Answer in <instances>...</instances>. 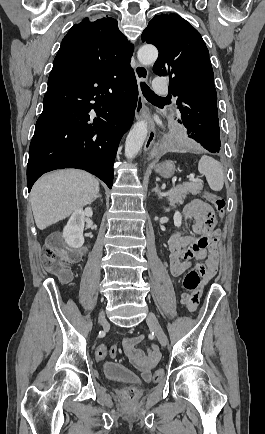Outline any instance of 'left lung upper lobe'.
<instances>
[{
    "instance_id": "left-lung-upper-lobe-1",
    "label": "left lung upper lobe",
    "mask_w": 265,
    "mask_h": 434,
    "mask_svg": "<svg viewBox=\"0 0 265 434\" xmlns=\"http://www.w3.org/2000/svg\"><path fill=\"white\" fill-rule=\"evenodd\" d=\"M142 41L158 48L153 72L169 75L179 122L187 129L219 130L214 74L200 33L177 14H161L149 22Z\"/></svg>"
}]
</instances>
